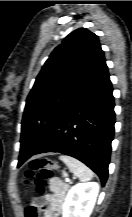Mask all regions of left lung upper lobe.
Returning a JSON list of instances; mask_svg holds the SVG:
<instances>
[{"label": "left lung upper lobe", "instance_id": "5c2ea615", "mask_svg": "<svg viewBox=\"0 0 132 217\" xmlns=\"http://www.w3.org/2000/svg\"><path fill=\"white\" fill-rule=\"evenodd\" d=\"M105 63L98 36L85 28L54 49L26 100L21 140L33 152Z\"/></svg>", "mask_w": 132, "mask_h": 217}]
</instances>
